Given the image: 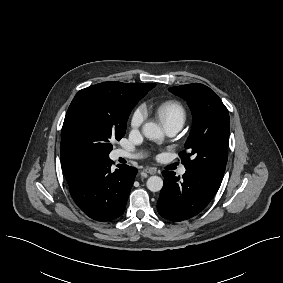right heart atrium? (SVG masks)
I'll return each instance as SVG.
<instances>
[{"mask_svg":"<svg viewBox=\"0 0 283 283\" xmlns=\"http://www.w3.org/2000/svg\"><path fill=\"white\" fill-rule=\"evenodd\" d=\"M146 118V112L143 106L137 107L130 118V127L133 130H137L141 127L143 124L144 120Z\"/></svg>","mask_w":283,"mask_h":283,"instance_id":"right-heart-atrium-1","label":"right heart atrium"}]
</instances>
